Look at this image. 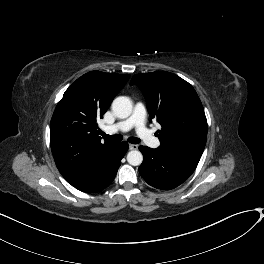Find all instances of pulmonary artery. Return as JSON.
<instances>
[{"instance_id":"e3ab8cb5","label":"pulmonary artery","mask_w":264,"mask_h":264,"mask_svg":"<svg viewBox=\"0 0 264 264\" xmlns=\"http://www.w3.org/2000/svg\"><path fill=\"white\" fill-rule=\"evenodd\" d=\"M146 110L141 102H137L133 108L132 114L125 120L105 128L107 134L117 132H127L132 128H136V133L140 139L147 145L157 147L159 140L154 134L145 127Z\"/></svg>"}]
</instances>
